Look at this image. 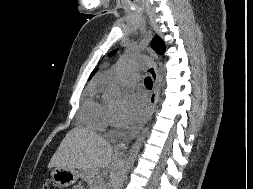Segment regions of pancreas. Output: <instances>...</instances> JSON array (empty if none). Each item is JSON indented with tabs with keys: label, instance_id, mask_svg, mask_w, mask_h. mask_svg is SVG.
<instances>
[{
	"label": "pancreas",
	"instance_id": "cf45deb5",
	"mask_svg": "<svg viewBox=\"0 0 253 189\" xmlns=\"http://www.w3.org/2000/svg\"><path fill=\"white\" fill-rule=\"evenodd\" d=\"M81 178L86 181L88 184L99 186L102 184V180L99 178L98 173L90 168L81 169Z\"/></svg>",
	"mask_w": 253,
	"mask_h": 189
}]
</instances>
